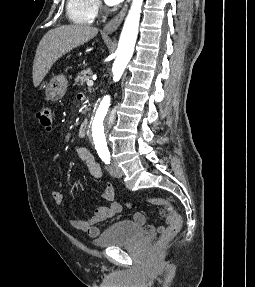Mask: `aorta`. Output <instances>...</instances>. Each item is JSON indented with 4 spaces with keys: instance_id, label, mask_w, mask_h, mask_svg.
<instances>
[{
    "instance_id": "obj_1",
    "label": "aorta",
    "mask_w": 255,
    "mask_h": 287,
    "mask_svg": "<svg viewBox=\"0 0 255 287\" xmlns=\"http://www.w3.org/2000/svg\"><path fill=\"white\" fill-rule=\"evenodd\" d=\"M143 0H133L125 20L116 52L112 72L114 79H120L130 61L139 28L140 13ZM111 107V97L106 95L94 109L87 135L96 147L106 145L108 115Z\"/></svg>"
}]
</instances>
